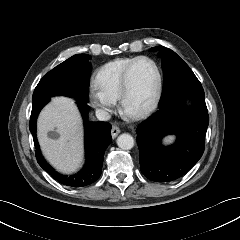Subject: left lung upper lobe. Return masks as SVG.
I'll use <instances>...</instances> for the list:
<instances>
[{"mask_svg": "<svg viewBox=\"0 0 240 240\" xmlns=\"http://www.w3.org/2000/svg\"><path fill=\"white\" fill-rule=\"evenodd\" d=\"M151 50H156V48H151ZM159 51L163 70V92L159 108L177 96H205L195 74L175 52L164 46H160Z\"/></svg>", "mask_w": 240, "mask_h": 240, "instance_id": "5c2ea615", "label": "left lung upper lobe"}]
</instances>
